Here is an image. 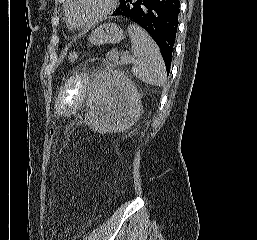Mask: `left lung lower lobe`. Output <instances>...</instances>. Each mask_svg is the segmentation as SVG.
<instances>
[{"instance_id":"0a47b994","label":"left lung lower lobe","mask_w":257,"mask_h":240,"mask_svg":"<svg viewBox=\"0 0 257 240\" xmlns=\"http://www.w3.org/2000/svg\"><path fill=\"white\" fill-rule=\"evenodd\" d=\"M179 0H120L112 14L144 28L159 46L169 74L178 27Z\"/></svg>"}]
</instances>
